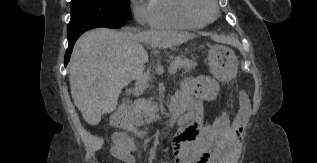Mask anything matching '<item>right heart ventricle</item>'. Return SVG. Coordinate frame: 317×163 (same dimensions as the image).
<instances>
[{"mask_svg":"<svg viewBox=\"0 0 317 163\" xmlns=\"http://www.w3.org/2000/svg\"><path fill=\"white\" fill-rule=\"evenodd\" d=\"M153 6L150 26L155 29L196 30L205 26L202 19L188 15L184 0H151Z\"/></svg>","mask_w":317,"mask_h":163,"instance_id":"obj_1","label":"right heart ventricle"}]
</instances>
